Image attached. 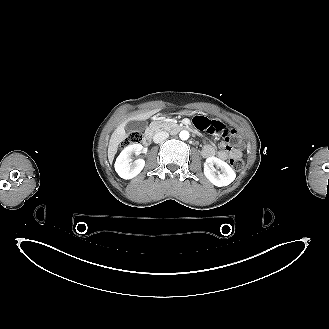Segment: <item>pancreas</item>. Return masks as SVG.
<instances>
[{"instance_id": "obj_1", "label": "pancreas", "mask_w": 329, "mask_h": 329, "mask_svg": "<svg viewBox=\"0 0 329 329\" xmlns=\"http://www.w3.org/2000/svg\"><path fill=\"white\" fill-rule=\"evenodd\" d=\"M153 126L156 131L166 130L172 133L178 128V125L176 123L167 119H161L159 121H156Z\"/></svg>"}]
</instances>
